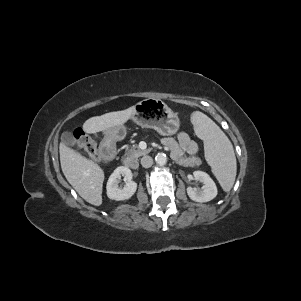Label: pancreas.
Here are the masks:
<instances>
[{"mask_svg":"<svg viewBox=\"0 0 301 301\" xmlns=\"http://www.w3.org/2000/svg\"><path fill=\"white\" fill-rule=\"evenodd\" d=\"M148 152H149L148 150L139 149L137 145H132V147L125 152V156L129 160H134L140 156L147 154ZM181 163L186 167H188V166L193 167V166L200 165L201 160L198 157L192 156V157L183 159Z\"/></svg>","mask_w":301,"mask_h":301,"instance_id":"cf45deb5","label":"pancreas"}]
</instances>
